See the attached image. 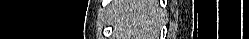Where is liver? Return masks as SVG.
I'll list each match as a JSON object with an SVG mask.
<instances>
[{
  "label": "liver",
  "mask_w": 249,
  "mask_h": 39,
  "mask_svg": "<svg viewBox=\"0 0 249 39\" xmlns=\"http://www.w3.org/2000/svg\"><path fill=\"white\" fill-rule=\"evenodd\" d=\"M113 21L119 39H156L161 22L158 0H120Z\"/></svg>",
  "instance_id": "1"
}]
</instances>
